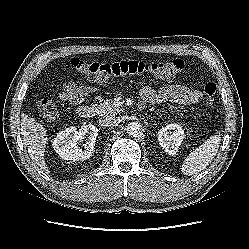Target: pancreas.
Returning a JSON list of instances; mask_svg holds the SVG:
<instances>
[{"label": "pancreas", "instance_id": "pancreas-1", "mask_svg": "<svg viewBox=\"0 0 249 249\" xmlns=\"http://www.w3.org/2000/svg\"><path fill=\"white\" fill-rule=\"evenodd\" d=\"M98 108L102 115H114L121 111L117 99L106 100L103 104H100Z\"/></svg>", "mask_w": 249, "mask_h": 249}]
</instances>
